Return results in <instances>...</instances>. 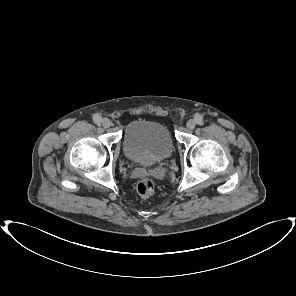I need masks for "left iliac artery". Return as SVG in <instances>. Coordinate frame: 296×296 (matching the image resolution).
<instances>
[{
  "label": "left iliac artery",
  "instance_id": "1",
  "mask_svg": "<svg viewBox=\"0 0 296 296\" xmlns=\"http://www.w3.org/2000/svg\"><path fill=\"white\" fill-rule=\"evenodd\" d=\"M196 123L199 125L203 124V117L201 115H198L195 117Z\"/></svg>",
  "mask_w": 296,
  "mask_h": 296
}]
</instances>
